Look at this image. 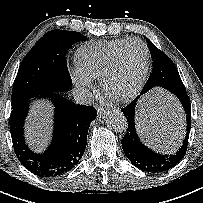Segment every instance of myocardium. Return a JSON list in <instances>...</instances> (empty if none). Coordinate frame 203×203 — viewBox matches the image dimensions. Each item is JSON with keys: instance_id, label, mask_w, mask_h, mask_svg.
<instances>
[{"instance_id": "f54148a6", "label": "myocardium", "mask_w": 203, "mask_h": 203, "mask_svg": "<svg viewBox=\"0 0 203 203\" xmlns=\"http://www.w3.org/2000/svg\"><path fill=\"white\" fill-rule=\"evenodd\" d=\"M131 43H139L142 45L144 52H145V62H144V66L143 69L137 79V81L135 82V84L133 85V87L126 93L123 95H115L112 93L111 91V81L116 73V70L120 64L121 61V57L123 55L124 50L126 49V47L128 45H130ZM149 65H150V51L149 48L147 46V44L139 39V38H130L128 39L115 53L113 59L111 60L110 64L108 65V67L106 68L102 78H101V86L102 89L104 91V93L113 101L118 102V103H127L130 102L131 100H133L138 93L140 92V90L142 89L146 77H147V73L149 70Z\"/></svg>"}]
</instances>
